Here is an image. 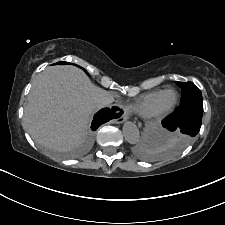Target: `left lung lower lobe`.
<instances>
[{
	"mask_svg": "<svg viewBox=\"0 0 225 225\" xmlns=\"http://www.w3.org/2000/svg\"><path fill=\"white\" fill-rule=\"evenodd\" d=\"M202 115L203 105L193 104L177 108L162 121V125L169 131H177L186 137L193 138L200 131Z\"/></svg>",
	"mask_w": 225,
	"mask_h": 225,
	"instance_id": "obj_1",
	"label": "left lung lower lobe"
}]
</instances>
